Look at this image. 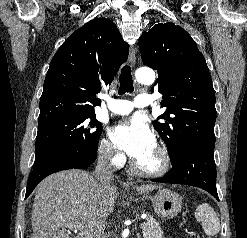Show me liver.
Returning <instances> with one entry per match:
<instances>
[{
	"label": "liver",
	"instance_id": "liver-1",
	"mask_svg": "<svg viewBox=\"0 0 247 238\" xmlns=\"http://www.w3.org/2000/svg\"><path fill=\"white\" fill-rule=\"evenodd\" d=\"M160 188L135 186L141 193ZM117 187L101 183L86 171L71 169L52 174L37 187L31 216L32 238H71L70 226L81 223L75 238H97L114 210Z\"/></svg>",
	"mask_w": 247,
	"mask_h": 238
}]
</instances>
